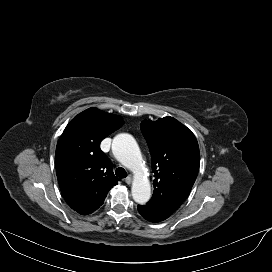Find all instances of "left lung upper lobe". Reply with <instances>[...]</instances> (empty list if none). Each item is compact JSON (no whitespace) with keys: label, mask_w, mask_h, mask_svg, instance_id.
Here are the masks:
<instances>
[{"label":"left lung upper lobe","mask_w":272,"mask_h":272,"mask_svg":"<svg viewBox=\"0 0 272 272\" xmlns=\"http://www.w3.org/2000/svg\"><path fill=\"white\" fill-rule=\"evenodd\" d=\"M150 153L153 196L145 206L169 217L189 195L196 180L200 153L192 131L173 117L141 123Z\"/></svg>","instance_id":"obj_1"}]
</instances>
